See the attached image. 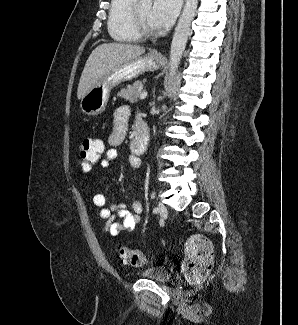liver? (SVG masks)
<instances>
[{"instance_id":"6515ba94","label":"liver","mask_w":298,"mask_h":325,"mask_svg":"<svg viewBox=\"0 0 298 325\" xmlns=\"http://www.w3.org/2000/svg\"><path fill=\"white\" fill-rule=\"evenodd\" d=\"M146 52L145 46L140 44H125V42H104L93 48L89 54L85 66L79 78L77 86V98H83L100 78L118 64L129 62L136 56H141Z\"/></svg>"}]
</instances>
